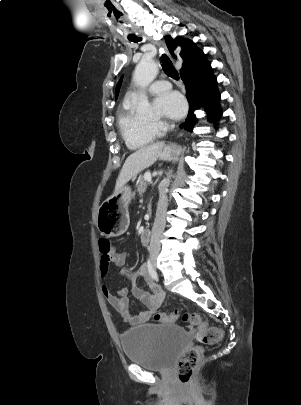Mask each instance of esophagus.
I'll list each match as a JSON object with an SVG mask.
<instances>
[{
    "label": "esophagus",
    "mask_w": 301,
    "mask_h": 405,
    "mask_svg": "<svg viewBox=\"0 0 301 405\" xmlns=\"http://www.w3.org/2000/svg\"><path fill=\"white\" fill-rule=\"evenodd\" d=\"M139 35L144 39H150L143 31L139 32ZM159 45L163 50L166 49L164 42H159Z\"/></svg>",
    "instance_id": "1"
}]
</instances>
